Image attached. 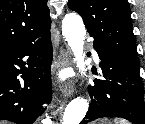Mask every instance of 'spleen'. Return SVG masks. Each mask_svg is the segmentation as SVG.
<instances>
[{
    "label": "spleen",
    "instance_id": "1",
    "mask_svg": "<svg viewBox=\"0 0 145 124\" xmlns=\"http://www.w3.org/2000/svg\"><path fill=\"white\" fill-rule=\"evenodd\" d=\"M114 123L115 124H129L127 121H125L123 119H115Z\"/></svg>",
    "mask_w": 145,
    "mask_h": 124
}]
</instances>
